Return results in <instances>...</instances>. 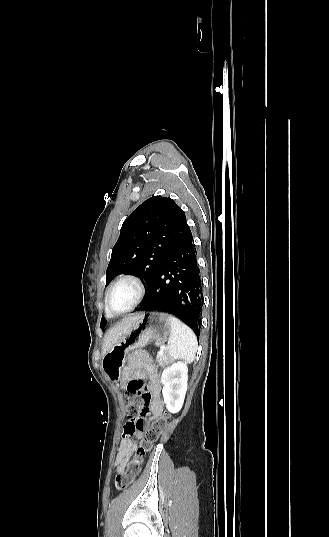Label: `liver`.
Instances as JSON below:
<instances>
[{
    "label": "liver",
    "mask_w": 329,
    "mask_h": 537,
    "mask_svg": "<svg viewBox=\"0 0 329 537\" xmlns=\"http://www.w3.org/2000/svg\"><path fill=\"white\" fill-rule=\"evenodd\" d=\"M138 319V315L127 317L118 325L108 330L104 337L103 355H105L112 348V346L121 339V337L135 324Z\"/></svg>",
    "instance_id": "1"
}]
</instances>
